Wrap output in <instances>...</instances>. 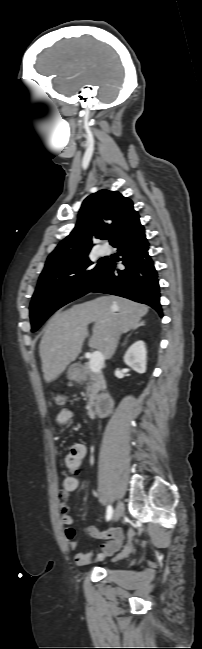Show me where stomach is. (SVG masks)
<instances>
[{
	"instance_id": "stomach-1",
	"label": "stomach",
	"mask_w": 202,
	"mask_h": 649,
	"mask_svg": "<svg viewBox=\"0 0 202 649\" xmlns=\"http://www.w3.org/2000/svg\"><path fill=\"white\" fill-rule=\"evenodd\" d=\"M67 374L70 380L77 381L79 379L80 369L78 368L77 365H72L68 369Z\"/></svg>"
}]
</instances>
